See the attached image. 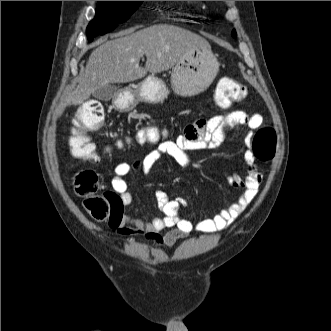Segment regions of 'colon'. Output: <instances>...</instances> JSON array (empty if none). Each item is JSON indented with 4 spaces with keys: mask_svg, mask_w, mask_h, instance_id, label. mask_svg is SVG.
<instances>
[{
    "mask_svg": "<svg viewBox=\"0 0 331 331\" xmlns=\"http://www.w3.org/2000/svg\"><path fill=\"white\" fill-rule=\"evenodd\" d=\"M246 95L245 87L231 79L222 78L217 86L215 100L218 106L227 108L241 101ZM105 120L102 105L96 100L83 104L74 117V129L70 138L73 155L81 160L90 161L96 157L94 146L88 141L84 131L100 129ZM162 132L159 128L150 126L141 129L137 134L140 143H156L160 141ZM276 132L271 126L261 127L252 141L253 154L262 161L274 156L276 148ZM98 177L92 170H82L75 177V191L84 197V206L90 215L97 220L109 218L114 211H119L122 203L113 192L98 193Z\"/></svg>",
    "mask_w": 331,
    "mask_h": 331,
    "instance_id": "obj_1",
    "label": "colon"
}]
</instances>
